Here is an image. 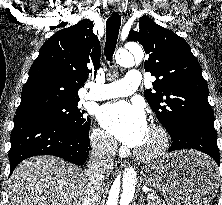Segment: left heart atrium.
Returning <instances> with one entry per match:
<instances>
[{"mask_svg": "<svg viewBox=\"0 0 222 205\" xmlns=\"http://www.w3.org/2000/svg\"><path fill=\"white\" fill-rule=\"evenodd\" d=\"M98 118L111 135L130 147L139 146L149 128L142 107L127 101L103 106Z\"/></svg>", "mask_w": 222, "mask_h": 205, "instance_id": "left-heart-atrium-1", "label": "left heart atrium"}]
</instances>
